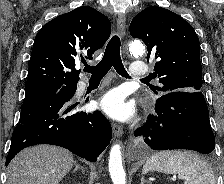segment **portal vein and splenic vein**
I'll return each instance as SVG.
<instances>
[{"label":"portal vein and splenic vein","mask_w":224,"mask_h":184,"mask_svg":"<svg viewBox=\"0 0 224 184\" xmlns=\"http://www.w3.org/2000/svg\"><path fill=\"white\" fill-rule=\"evenodd\" d=\"M185 177L184 176H179V179H184Z\"/></svg>","instance_id":"1"}]
</instances>
